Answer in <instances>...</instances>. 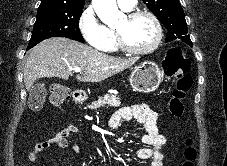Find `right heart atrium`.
I'll use <instances>...</instances> for the list:
<instances>
[{
    "label": "right heart atrium",
    "instance_id": "d8ad5b80",
    "mask_svg": "<svg viewBox=\"0 0 227 166\" xmlns=\"http://www.w3.org/2000/svg\"><path fill=\"white\" fill-rule=\"evenodd\" d=\"M78 27L85 41L100 51L110 50V36L107 27L101 23L93 6H87L78 20Z\"/></svg>",
    "mask_w": 227,
    "mask_h": 166
}]
</instances>
